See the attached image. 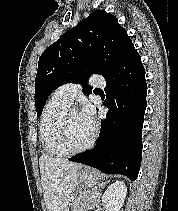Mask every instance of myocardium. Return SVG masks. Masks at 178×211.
Wrapping results in <instances>:
<instances>
[{
    "instance_id": "myocardium-1",
    "label": "myocardium",
    "mask_w": 178,
    "mask_h": 211,
    "mask_svg": "<svg viewBox=\"0 0 178 211\" xmlns=\"http://www.w3.org/2000/svg\"><path fill=\"white\" fill-rule=\"evenodd\" d=\"M72 113H78V112L75 109H68L63 114L62 119H61L60 132L58 136V144L65 155H75V154L85 152L86 150L90 149L94 145L97 138V128L94 127L92 137L90 138L87 144H85L84 146L78 149L70 148L67 142V132H68V119Z\"/></svg>"
}]
</instances>
